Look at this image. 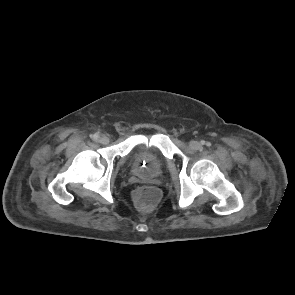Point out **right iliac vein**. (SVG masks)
<instances>
[{
    "mask_svg": "<svg viewBox=\"0 0 295 295\" xmlns=\"http://www.w3.org/2000/svg\"><path fill=\"white\" fill-rule=\"evenodd\" d=\"M99 142L101 144H108L109 143V137L107 135H102L100 138H99Z\"/></svg>",
    "mask_w": 295,
    "mask_h": 295,
    "instance_id": "1",
    "label": "right iliac vein"
}]
</instances>
